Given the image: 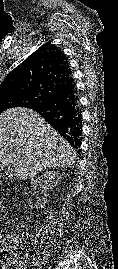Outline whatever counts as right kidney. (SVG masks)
Returning a JSON list of instances; mask_svg holds the SVG:
<instances>
[{"label": "right kidney", "mask_w": 118, "mask_h": 269, "mask_svg": "<svg viewBox=\"0 0 118 269\" xmlns=\"http://www.w3.org/2000/svg\"><path fill=\"white\" fill-rule=\"evenodd\" d=\"M60 180V177L58 175V172L56 171H46L44 174L39 176L36 180L33 181V185L39 186L44 193L45 196L48 195L50 191L53 190V188L57 185L58 181ZM46 198H42V202H46ZM27 203L31 206L32 200L31 198L27 199Z\"/></svg>", "instance_id": "right-kidney-1"}]
</instances>
